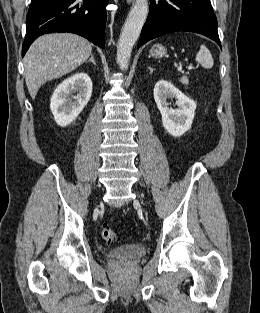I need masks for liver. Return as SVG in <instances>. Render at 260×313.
Instances as JSON below:
<instances>
[{
    "mask_svg": "<svg viewBox=\"0 0 260 313\" xmlns=\"http://www.w3.org/2000/svg\"><path fill=\"white\" fill-rule=\"evenodd\" d=\"M91 52V43L72 33H52L36 39L24 57L25 80L32 99L46 81L76 69Z\"/></svg>",
    "mask_w": 260,
    "mask_h": 313,
    "instance_id": "obj_1",
    "label": "liver"
}]
</instances>
